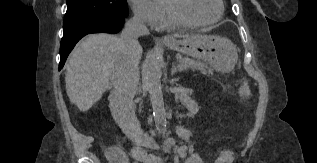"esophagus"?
I'll list each match as a JSON object with an SVG mask.
<instances>
[{
  "instance_id": "esophagus-1",
  "label": "esophagus",
  "mask_w": 317,
  "mask_h": 163,
  "mask_svg": "<svg viewBox=\"0 0 317 163\" xmlns=\"http://www.w3.org/2000/svg\"><path fill=\"white\" fill-rule=\"evenodd\" d=\"M161 39H162L163 41H168V40H170L171 38H170L169 36H163Z\"/></svg>"
}]
</instances>
